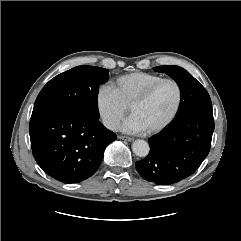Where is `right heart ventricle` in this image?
<instances>
[{
    "instance_id": "e07e8e85",
    "label": "right heart ventricle",
    "mask_w": 241,
    "mask_h": 241,
    "mask_svg": "<svg viewBox=\"0 0 241 241\" xmlns=\"http://www.w3.org/2000/svg\"><path fill=\"white\" fill-rule=\"evenodd\" d=\"M162 76L147 72H134L117 78L112 87L120 100L128 107L143 91Z\"/></svg>"
}]
</instances>
